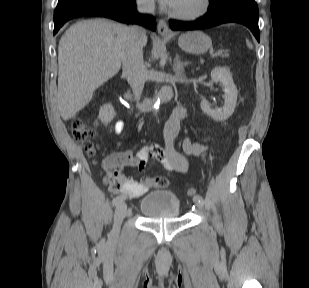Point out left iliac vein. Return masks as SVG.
<instances>
[{
  "instance_id": "1",
  "label": "left iliac vein",
  "mask_w": 309,
  "mask_h": 288,
  "mask_svg": "<svg viewBox=\"0 0 309 288\" xmlns=\"http://www.w3.org/2000/svg\"><path fill=\"white\" fill-rule=\"evenodd\" d=\"M194 202H195L196 206H197L199 209H202V208H203V206H204V201H203V199H202V200H196V201H194Z\"/></svg>"
}]
</instances>
